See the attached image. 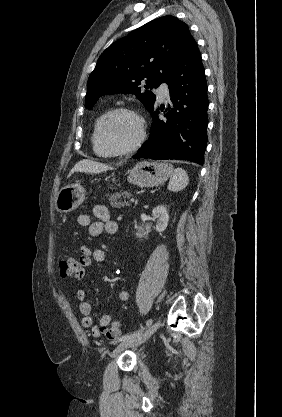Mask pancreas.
<instances>
[{"label":"pancreas","mask_w":282,"mask_h":417,"mask_svg":"<svg viewBox=\"0 0 282 417\" xmlns=\"http://www.w3.org/2000/svg\"><path fill=\"white\" fill-rule=\"evenodd\" d=\"M132 196L131 192H127V190H123V192H114V194H110L109 200L111 206H117V209H121V206H130L129 200L126 198H130Z\"/></svg>","instance_id":"pancreas-1"}]
</instances>
